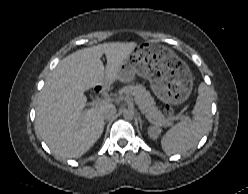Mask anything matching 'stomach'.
<instances>
[{
  "instance_id": "0dacf381",
  "label": "stomach",
  "mask_w": 248,
  "mask_h": 194,
  "mask_svg": "<svg viewBox=\"0 0 248 194\" xmlns=\"http://www.w3.org/2000/svg\"><path fill=\"white\" fill-rule=\"evenodd\" d=\"M136 74L150 82L160 100L174 105L186 101L193 88L189 67L166 47L144 44L134 48L121 69L120 80L130 82Z\"/></svg>"
}]
</instances>
